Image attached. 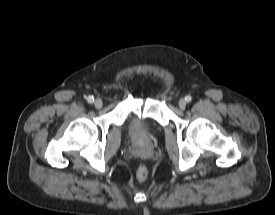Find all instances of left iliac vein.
Here are the masks:
<instances>
[{"label": "left iliac vein", "mask_w": 275, "mask_h": 215, "mask_svg": "<svg viewBox=\"0 0 275 215\" xmlns=\"http://www.w3.org/2000/svg\"><path fill=\"white\" fill-rule=\"evenodd\" d=\"M178 105L180 109L184 110L186 108L187 103L184 99H180Z\"/></svg>", "instance_id": "4c4485c4"}]
</instances>
